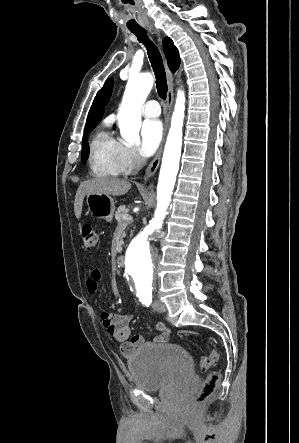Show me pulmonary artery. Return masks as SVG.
<instances>
[{"mask_svg":"<svg viewBox=\"0 0 299 443\" xmlns=\"http://www.w3.org/2000/svg\"><path fill=\"white\" fill-rule=\"evenodd\" d=\"M145 117L154 118L160 115V107L156 100H150L142 108Z\"/></svg>","mask_w":299,"mask_h":443,"instance_id":"pulmonary-artery-1","label":"pulmonary artery"}]
</instances>
